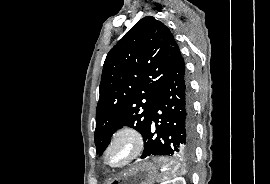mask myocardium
<instances>
[{"instance_id": "obj_1", "label": "myocardium", "mask_w": 270, "mask_h": 184, "mask_svg": "<svg viewBox=\"0 0 270 184\" xmlns=\"http://www.w3.org/2000/svg\"><path fill=\"white\" fill-rule=\"evenodd\" d=\"M122 142L127 143L129 146V153L127 157L118 164L109 163L108 156L110 152ZM143 147L144 142L140 131L131 125H124L112 135L111 139L106 145L102 155L103 163L110 169H122L133 163L141 155Z\"/></svg>"}]
</instances>
